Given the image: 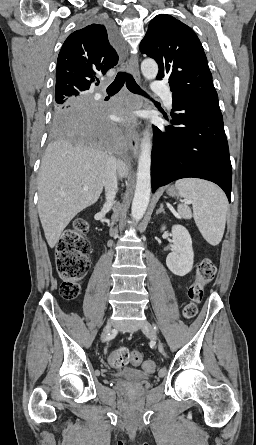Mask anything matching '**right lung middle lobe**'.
Returning <instances> with one entry per match:
<instances>
[{
    "label": "right lung middle lobe",
    "instance_id": "dd1d6c3e",
    "mask_svg": "<svg viewBox=\"0 0 256 445\" xmlns=\"http://www.w3.org/2000/svg\"><path fill=\"white\" fill-rule=\"evenodd\" d=\"M89 99L87 93L76 94L70 97H57L55 96L54 103V122H53V133L64 135L69 137V131L65 127L61 126L59 123L60 118L65 115L68 110L72 109L79 101Z\"/></svg>",
    "mask_w": 256,
    "mask_h": 445
}]
</instances>
